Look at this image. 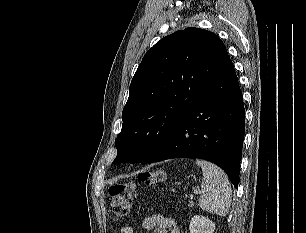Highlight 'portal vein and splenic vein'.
Masks as SVG:
<instances>
[{"mask_svg": "<svg viewBox=\"0 0 306 233\" xmlns=\"http://www.w3.org/2000/svg\"><path fill=\"white\" fill-rule=\"evenodd\" d=\"M204 191L203 190H194L193 194L191 195V197H193L194 195L196 194H201L203 193Z\"/></svg>", "mask_w": 306, "mask_h": 233, "instance_id": "1", "label": "portal vein and splenic vein"}]
</instances>
